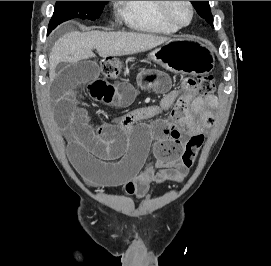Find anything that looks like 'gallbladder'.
I'll return each instance as SVG.
<instances>
[{
  "mask_svg": "<svg viewBox=\"0 0 271 266\" xmlns=\"http://www.w3.org/2000/svg\"><path fill=\"white\" fill-rule=\"evenodd\" d=\"M65 63H59L56 68V72L59 74L64 71Z\"/></svg>",
  "mask_w": 271,
  "mask_h": 266,
  "instance_id": "1",
  "label": "gallbladder"
}]
</instances>
